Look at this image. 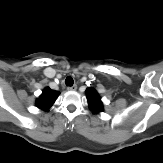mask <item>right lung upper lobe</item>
<instances>
[{
    "label": "right lung upper lobe",
    "mask_w": 163,
    "mask_h": 163,
    "mask_svg": "<svg viewBox=\"0 0 163 163\" xmlns=\"http://www.w3.org/2000/svg\"><path fill=\"white\" fill-rule=\"evenodd\" d=\"M60 93L49 87L45 88L39 98L36 100V106L40 109L47 110L55 102Z\"/></svg>",
    "instance_id": "right-lung-upper-lobe-1"
}]
</instances>
